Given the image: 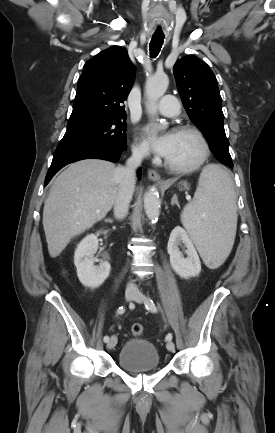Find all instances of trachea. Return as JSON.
I'll return each mask as SVG.
<instances>
[{
  "mask_svg": "<svg viewBox=\"0 0 275 433\" xmlns=\"http://www.w3.org/2000/svg\"><path fill=\"white\" fill-rule=\"evenodd\" d=\"M163 42H164V35H153L152 36V39H151L150 44H149L150 56L152 58H155L159 54Z\"/></svg>",
  "mask_w": 275,
  "mask_h": 433,
  "instance_id": "3493384b",
  "label": "trachea"
}]
</instances>
